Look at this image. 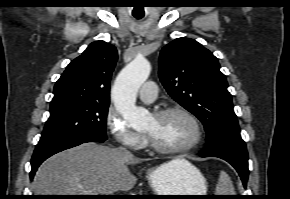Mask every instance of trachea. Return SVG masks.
<instances>
[{
    "instance_id": "3493384b",
    "label": "trachea",
    "mask_w": 290,
    "mask_h": 199,
    "mask_svg": "<svg viewBox=\"0 0 290 199\" xmlns=\"http://www.w3.org/2000/svg\"><path fill=\"white\" fill-rule=\"evenodd\" d=\"M137 19H141L143 16H135Z\"/></svg>"
}]
</instances>
